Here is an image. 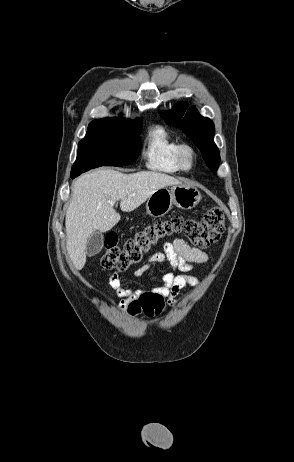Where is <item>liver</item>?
I'll list each match as a JSON object with an SVG mask.
<instances>
[{
	"label": "liver",
	"mask_w": 294,
	"mask_h": 462,
	"mask_svg": "<svg viewBox=\"0 0 294 462\" xmlns=\"http://www.w3.org/2000/svg\"><path fill=\"white\" fill-rule=\"evenodd\" d=\"M181 184L176 178L154 171L123 174L100 169L80 176L73 184L72 201L66 211V247L76 269L86 263V243L94 231L107 232L121 216L113 208L120 200L123 212L143 204L156 190Z\"/></svg>",
	"instance_id": "1"
}]
</instances>
